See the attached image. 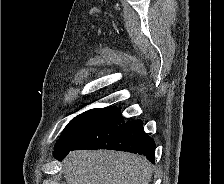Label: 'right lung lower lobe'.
<instances>
[{
  "label": "right lung lower lobe",
  "instance_id": "obj_1",
  "mask_svg": "<svg viewBox=\"0 0 224 184\" xmlns=\"http://www.w3.org/2000/svg\"><path fill=\"white\" fill-rule=\"evenodd\" d=\"M76 149L120 150L143 154L152 163L155 159V142L144 132L142 121H125L120 108L72 143L56 147L53 156L62 160Z\"/></svg>",
  "mask_w": 224,
  "mask_h": 184
}]
</instances>
